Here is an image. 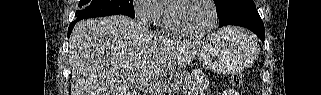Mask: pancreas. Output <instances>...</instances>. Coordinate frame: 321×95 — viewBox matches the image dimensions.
<instances>
[{
	"instance_id": "1",
	"label": "pancreas",
	"mask_w": 321,
	"mask_h": 95,
	"mask_svg": "<svg viewBox=\"0 0 321 95\" xmlns=\"http://www.w3.org/2000/svg\"><path fill=\"white\" fill-rule=\"evenodd\" d=\"M172 78L174 79V83L166 84V89H163L162 87L160 89L152 88L150 90L151 95H163V92L167 89L174 86L175 88H180L182 90H190L193 85L191 82V76L187 71H178L172 74Z\"/></svg>"
}]
</instances>
